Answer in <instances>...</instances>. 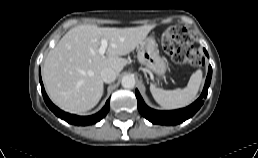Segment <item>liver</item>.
<instances>
[{
  "mask_svg": "<svg viewBox=\"0 0 258 158\" xmlns=\"http://www.w3.org/2000/svg\"><path fill=\"white\" fill-rule=\"evenodd\" d=\"M152 28L80 25L70 29L44 61L43 81L50 99L74 114L92 109L103 94L101 70L112 68L119 74L127 64L120 56L138 47ZM102 39L109 44L106 56L98 53Z\"/></svg>",
  "mask_w": 258,
  "mask_h": 158,
  "instance_id": "obj_1",
  "label": "liver"
}]
</instances>
